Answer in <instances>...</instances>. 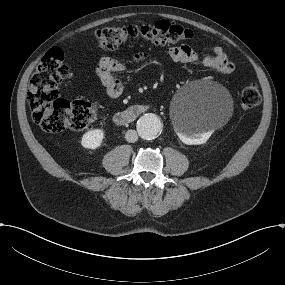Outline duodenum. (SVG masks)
I'll return each mask as SVG.
<instances>
[{"label": "duodenum", "instance_id": "duodenum-1", "mask_svg": "<svg viewBox=\"0 0 285 285\" xmlns=\"http://www.w3.org/2000/svg\"><path fill=\"white\" fill-rule=\"evenodd\" d=\"M148 109V105L134 104L115 113L113 120L119 126H126L137 120Z\"/></svg>", "mask_w": 285, "mask_h": 285}]
</instances>
